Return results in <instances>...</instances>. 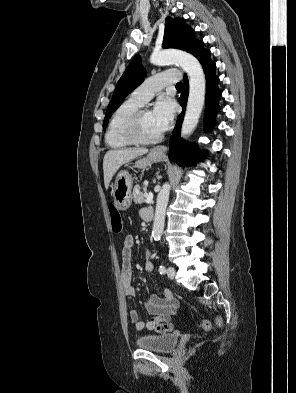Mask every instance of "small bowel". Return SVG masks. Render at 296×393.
I'll return each instance as SVG.
<instances>
[{"label":"small bowel","mask_w":296,"mask_h":393,"mask_svg":"<svg viewBox=\"0 0 296 393\" xmlns=\"http://www.w3.org/2000/svg\"><path fill=\"white\" fill-rule=\"evenodd\" d=\"M146 209L140 211V216L145 217ZM134 247V238L132 235H127L122 246V265L120 271V280L122 289L125 295L135 296V288L132 284V252ZM145 270L153 272L154 265L151 260L145 263ZM157 289L162 293V297L155 294H148L145 297L144 306L146 311L151 315V318L146 322H142L139 313L136 309L129 310V318L136 330L146 328L157 333H165L173 329L171 323V316L175 313L178 307V300L173 296L172 292L160 283H156Z\"/></svg>","instance_id":"obj_1"}]
</instances>
